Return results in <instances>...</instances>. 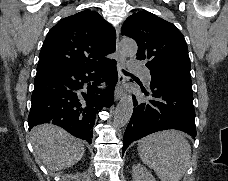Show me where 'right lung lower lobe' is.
Wrapping results in <instances>:
<instances>
[{"label": "right lung lower lobe", "mask_w": 228, "mask_h": 181, "mask_svg": "<svg viewBox=\"0 0 228 181\" xmlns=\"http://www.w3.org/2000/svg\"><path fill=\"white\" fill-rule=\"evenodd\" d=\"M118 81L116 61L95 63L37 75L34 80L29 130L52 122L91 143L97 112L113 103Z\"/></svg>", "instance_id": "right-lung-lower-lobe-1"}]
</instances>
